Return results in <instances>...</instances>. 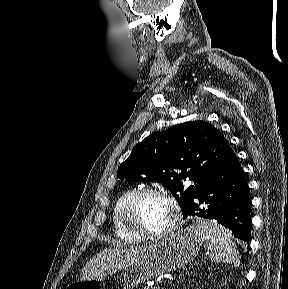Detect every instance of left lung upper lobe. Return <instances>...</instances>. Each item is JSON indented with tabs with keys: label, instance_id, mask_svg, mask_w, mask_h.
Returning a JSON list of instances; mask_svg holds the SVG:
<instances>
[{
	"label": "left lung upper lobe",
	"instance_id": "5c2ea615",
	"mask_svg": "<svg viewBox=\"0 0 288 289\" xmlns=\"http://www.w3.org/2000/svg\"><path fill=\"white\" fill-rule=\"evenodd\" d=\"M229 149L222 133L205 121L175 125L136 144L117 171L121 180L158 182L166 186L182 212ZM192 180L188 186L185 181Z\"/></svg>",
	"mask_w": 288,
	"mask_h": 289
}]
</instances>
